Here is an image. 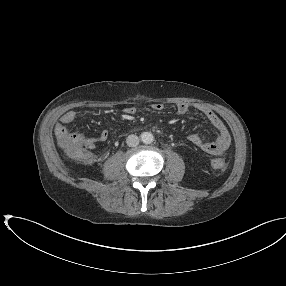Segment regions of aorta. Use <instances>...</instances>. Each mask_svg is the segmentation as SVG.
Listing matches in <instances>:
<instances>
[{
	"mask_svg": "<svg viewBox=\"0 0 286 286\" xmlns=\"http://www.w3.org/2000/svg\"><path fill=\"white\" fill-rule=\"evenodd\" d=\"M141 140L145 144H151L154 140V136L151 132H143L141 134Z\"/></svg>",
	"mask_w": 286,
	"mask_h": 286,
	"instance_id": "1",
	"label": "aorta"
}]
</instances>
